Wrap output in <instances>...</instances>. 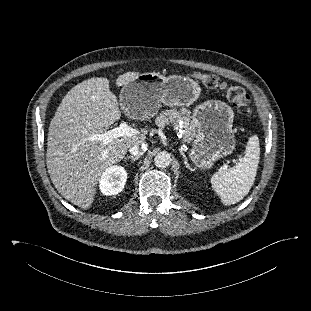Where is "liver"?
Wrapping results in <instances>:
<instances>
[{
	"mask_svg": "<svg viewBox=\"0 0 311 311\" xmlns=\"http://www.w3.org/2000/svg\"><path fill=\"white\" fill-rule=\"evenodd\" d=\"M139 75L126 72L116 79V85L124 86ZM109 84V79L96 77L75 85L62 99L49 126L46 164L52 183L66 200L83 209L91 206L103 172L146 139L143 133L115 138L106 145L91 139L121 117Z\"/></svg>",
	"mask_w": 311,
	"mask_h": 311,
	"instance_id": "obj_1",
	"label": "liver"
}]
</instances>
